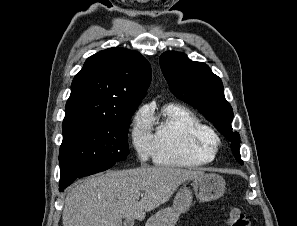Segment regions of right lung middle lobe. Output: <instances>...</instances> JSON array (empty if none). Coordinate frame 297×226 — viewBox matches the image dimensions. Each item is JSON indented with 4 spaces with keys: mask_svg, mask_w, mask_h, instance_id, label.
<instances>
[{
    "mask_svg": "<svg viewBox=\"0 0 297 226\" xmlns=\"http://www.w3.org/2000/svg\"><path fill=\"white\" fill-rule=\"evenodd\" d=\"M137 105L114 120L75 118L63 121L59 162L61 176L91 166H113L129 154L127 134Z\"/></svg>",
    "mask_w": 297,
    "mask_h": 226,
    "instance_id": "dd1d6c3e",
    "label": "right lung middle lobe"
}]
</instances>
